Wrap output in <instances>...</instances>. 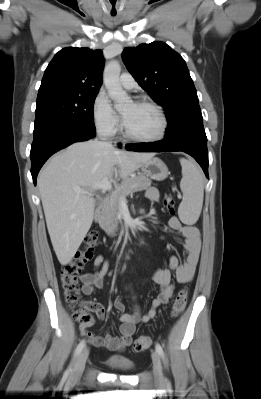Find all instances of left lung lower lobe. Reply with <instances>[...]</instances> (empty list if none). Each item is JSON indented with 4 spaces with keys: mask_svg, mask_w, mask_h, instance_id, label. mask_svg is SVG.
<instances>
[{
    "mask_svg": "<svg viewBox=\"0 0 261 399\" xmlns=\"http://www.w3.org/2000/svg\"><path fill=\"white\" fill-rule=\"evenodd\" d=\"M127 150L139 152L182 151L191 155L208 178L207 137L203 126L186 130L182 134L152 143L130 144Z\"/></svg>",
    "mask_w": 261,
    "mask_h": 399,
    "instance_id": "0a47b994",
    "label": "left lung lower lobe"
}]
</instances>
